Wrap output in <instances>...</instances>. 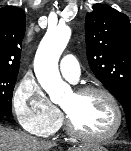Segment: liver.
Here are the masks:
<instances>
[{
	"label": "liver",
	"mask_w": 131,
	"mask_h": 151,
	"mask_svg": "<svg viewBox=\"0 0 131 151\" xmlns=\"http://www.w3.org/2000/svg\"><path fill=\"white\" fill-rule=\"evenodd\" d=\"M55 143L34 138L26 133L4 128L0 125V151H48ZM83 148H72L80 151Z\"/></svg>",
	"instance_id": "obj_1"
}]
</instances>
